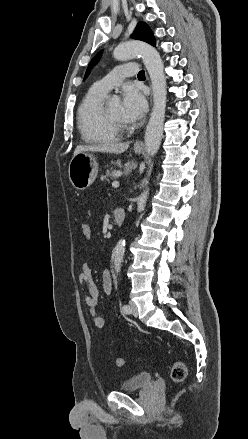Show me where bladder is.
<instances>
[{"instance_id":"obj_1","label":"bladder","mask_w":248,"mask_h":439,"mask_svg":"<svg viewBox=\"0 0 248 439\" xmlns=\"http://www.w3.org/2000/svg\"><path fill=\"white\" fill-rule=\"evenodd\" d=\"M153 382V374L150 372H139L133 377L120 383L118 389L124 392L141 390Z\"/></svg>"}]
</instances>
